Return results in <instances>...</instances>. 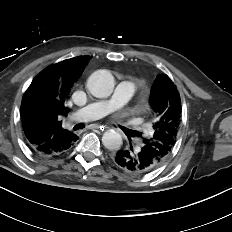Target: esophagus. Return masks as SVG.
<instances>
[{"mask_svg": "<svg viewBox=\"0 0 232 232\" xmlns=\"http://www.w3.org/2000/svg\"><path fill=\"white\" fill-rule=\"evenodd\" d=\"M92 128H93V129H99V130H101V131H104V130H106L108 127L103 126V125H92Z\"/></svg>", "mask_w": 232, "mask_h": 232, "instance_id": "34e87169", "label": "esophagus"}]
</instances>
